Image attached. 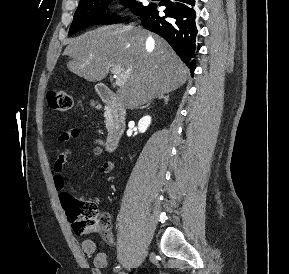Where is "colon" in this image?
Returning a JSON list of instances; mask_svg holds the SVG:
<instances>
[{"label":"colon","mask_w":289,"mask_h":274,"mask_svg":"<svg viewBox=\"0 0 289 274\" xmlns=\"http://www.w3.org/2000/svg\"><path fill=\"white\" fill-rule=\"evenodd\" d=\"M46 98L49 107L55 111L65 112L73 107L71 95L63 90H50ZM61 200L77 234L94 232L107 236L110 233L111 217L108 213H100L95 202L68 193H64Z\"/></svg>","instance_id":"obj_1"}]
</instances>
